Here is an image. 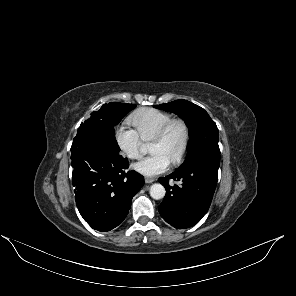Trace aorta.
I'll return each mask as SVG.
<instances>
[{"instance_id":"1","label":"aorta","mask_w":296,"mask_h":296,"mask_svg":"<svg viewBox=\"0 0 296 296\" xmlns=\"http://www.w3.org/2000/svg\"><path fill=\"white\" fill-rule=\"evenodd\" d=\"M165 188L159 183H155L150 187V196L155 200H160L165 196Z\"/></svg>"}]
</instances>
